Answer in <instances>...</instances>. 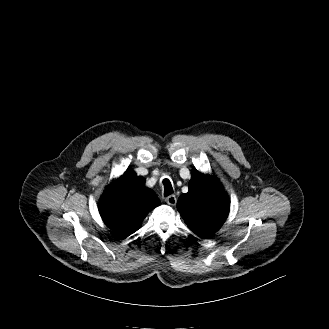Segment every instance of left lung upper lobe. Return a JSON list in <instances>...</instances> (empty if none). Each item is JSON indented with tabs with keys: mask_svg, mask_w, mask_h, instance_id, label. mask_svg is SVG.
Returning a JSON list of instances; mask_svg holds the SVG:
<instances>
[{
	"mask_svg": "<svg viewBox=\"0 0 329 329\" xmlns=\"http://www.w3.org/2000/svg\"><path fill=\"white\" fill-rule=\"evenodd\" d=\"M188 187V193L180 196L177 209L196 235L209 238L228 216V196L216 177L204 175L196 169L192 172Z\"/></svg>",
	"mask_w": 329,
	"mask_h": 329,
	"instance_id": "5c2ea615",
	"label": "left lung upper lobe"
}]
</instances>
